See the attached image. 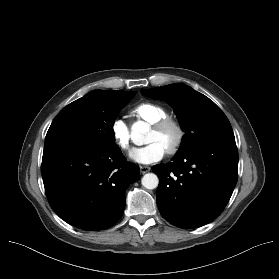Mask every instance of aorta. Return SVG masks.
Here are the masks:
<instances>
[{
    "label": "aorta",
    "mask_w": 279,
    "mask_h": 279,
    "mask_svg": "<svg viewBox=\"0 0 279 279\" xmlns=\"http://www.w3.org/2000/svg\"><path fill=\"white\" fill-rule=\"evenodd\" d=\"M148 129L149 126L146 122L138 121L132 126L131 136L134 140L142 138ZM141 183L146 189H155L159 184V178L154 173H147L142 177Z\"/></svg>",
    "instance_id": "762f6f07"
}]
</instances>
